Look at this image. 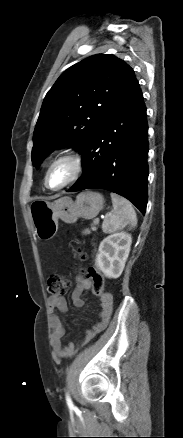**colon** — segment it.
I'll use <instances>...</instances> for the list:
<instances>
[{
  "label": "colon",
  "instance_id": "5ec220e1",
  "mask_svg": "<svg viewBox=\"0 0 183 438\" xmlns=\"http://www.w3.org/2000/svg\"><path fill=\"white\" fill-rule=\"evenodd\" d=\"M78 258L80 260H84L86 258V254L82 251H78ZM87 277L91 281V290L94 296L102 297L107 292L104 287V278L99 271V269L93 265L90 266L87 270ZM70 283L61 275H51L48 279L47 284V292L50 297H59L63 296L69 289Z\"/></svg>",
  "mask_w": 183,
  "mask_h": 438
}]
</instances>
